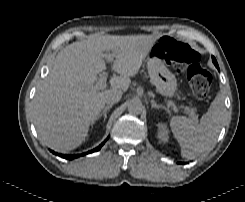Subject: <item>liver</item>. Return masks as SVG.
Wrapping results in <instances>:
<instances>
[{
	"instance_id": "1",
	"label": "liver",
	"mask_w": 245,
	"mask_h": 202,
	"mask_svg": "<svg viewBox=\"0 0 245 202\" xmlns=\"http://www.w3.org/2000/svg\"><path fill=\"white\" fill-rule=\"evenodd\" d=\"M157 40L154 35H98L69 44L57 54L50 73L41 81L33 101V117L39 139L58 152L80 146L89 127L105 106L111 90L127 91ZM116 53L111 88L93 89L106 69L104 52Z\"/></svg>"
}]
</instances>
